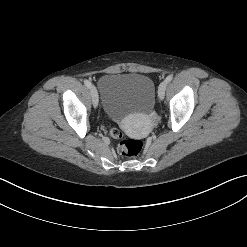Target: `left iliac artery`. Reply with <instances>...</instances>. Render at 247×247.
Returning <instances> with one entry per match:
<instances>
[{
	"label": "left iliac artery",
	"instance_id": "44dca946",
	"mask_svg": "<svg viewBox=\"0 0 247 247\" xmlns=\"http://www.w3.org/2000/svg\"><path fill=\"white\" fill-rule=\"evenodd\" d=\"M173 79V75H168L165 79L167 83H169Z\"/></svg>",
	"mask_w": 247,
	"mask_h": 247
}]
</instances>
